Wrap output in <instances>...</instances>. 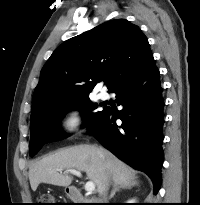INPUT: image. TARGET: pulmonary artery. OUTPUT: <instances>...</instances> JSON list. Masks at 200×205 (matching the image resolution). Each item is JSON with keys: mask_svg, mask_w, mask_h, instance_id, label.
Masks as SVG:
<instances>
[{"mask_svg": "<svg viewBox=\"0 0 200 205\" xmlns=\"http://www.w3.org/2000/svg\"><path fill=\"white\" fill-rule=\"evenodd\" d=\"M99 97L102 100H107L109 98V94L105 90H101L99 93Z\"/></svg>", "mask_w": 200, "mask_h": 205, "instance_id": "obj_1", "label": "pulmonary artery"}]
</instances>
